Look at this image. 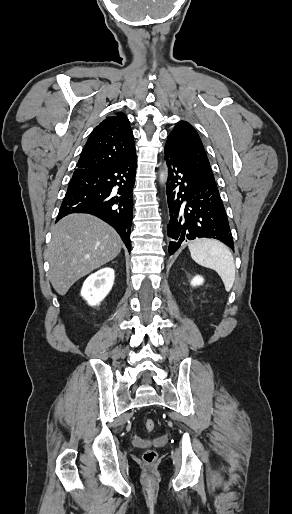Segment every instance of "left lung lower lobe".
Wrapping results in <instances>:
<instances>
[{"instance_id":"1","label":"left lung lower lobe","mask_w":292,"mask_h":514,"mask_svg":"<svg viewBox=\"0 0 292 514\" xmlns=\"http://www.w3.org/2000/svg\"><path fill=\"white\" fill-rule=\"evenodd\" d=\"M168 165L167 201L170 221L167 227L169 254L181 243L195 238H214L234 249L233 237L220 198L212 181L193 171L178 154L165 147Z\"/></svg>"}]
</instances>
